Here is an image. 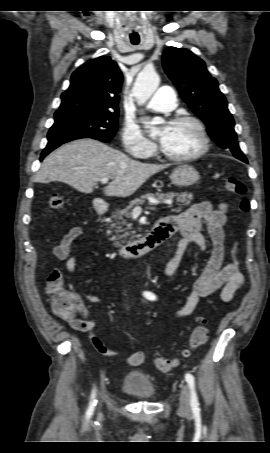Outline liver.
I'll use <instances>...</instances> for the list:
<instances>
[{
  "label": "liver",
  "mask_w": 270,
  "mask_h": 453,
  "mask_svg": "<svg viewBox=\"0 0 270 453\" xmlns=\"http://www.w3.org/2000/svg\"><path fill=\"white\" fill-rule=\"evenodd\" d=\"M167 167L133 160L102 142L85 138L64 144L48 155L35 181H61L90 194L96 183L106 177L112 179L104 189L107 196L128 197Z\"/></svg>",
  "instance_id": "1"
}]
</instances>
